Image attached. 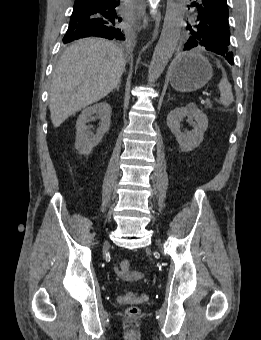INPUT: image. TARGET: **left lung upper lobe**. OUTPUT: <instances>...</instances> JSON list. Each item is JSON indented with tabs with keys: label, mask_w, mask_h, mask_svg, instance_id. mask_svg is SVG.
I'll return each instance as SVG.
<instances>
[{
	"label": "left lung upper lobe",
	"mask_w": 261,
	"mask_h": 340,
	"mask_svg": "<svg viewBox=\"0 0 261 340\" xmlns=\"http://www.w3.org/2000/svg\"><path fill=\"white\" fill-rule=\"evenodd\" d=\"M189 32L186 33L185 40L195 38L198 40L197 46L219 54L226 58L230 53V31L228 19L209 21L197 25L194 20L188 25Z\"/></svg>",
	"instance_id": "obj_1"
}]
</instances>
